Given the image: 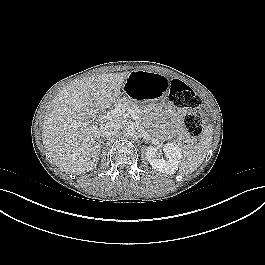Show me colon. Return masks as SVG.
I'll return each mask as SVG.
<instances>
[{
    "instance_id": "1",
    "label": "colon",
    "mask_w": 265,
    "mask_h": 265,
    "mask_svg": "<svg viewBox=\"0 0 265 265\" xmlns=\"http://www.w3.org/2000/svg\"><path fill=\"white\" fill-rule=\"evenodd\" d=\"M169 100L176 107L196 109L200 106V99L195 92L180 80L168 82ZM187 131L193 136H199L204 128V118L200 111L188 114L184 119Z\"/></svg>"
}]
</instances>
